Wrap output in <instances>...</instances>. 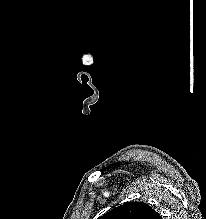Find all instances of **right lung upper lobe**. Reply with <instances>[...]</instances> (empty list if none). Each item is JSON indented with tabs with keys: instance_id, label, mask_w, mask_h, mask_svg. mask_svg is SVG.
Returning a JSON list of instances; mask_svg holds the SVG:
<instances>
[{
	"instance_id": "cb5924a9",
	"label": "right lung upper lobe",
	"mask_w": 206,
	"mask_h": 219,
	"mask_svg": "<svg viewBox=\"0 0 206 219\" xmlns=\"http://www.w3.org/2000/svg\"><path fill=\"white\" fill-rule=\"evenodd\" d=\"M99 219H162L149 205L143 202H126L105 213Z\"/></svg>"
}]
</instances>
